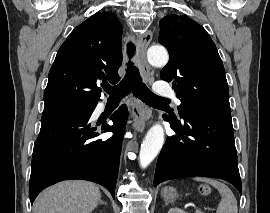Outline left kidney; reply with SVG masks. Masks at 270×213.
<instances>
[{
  "label": "left kidney",
  "mask_w": 270,
  "mask_h": 213,
  "mask_svg": "<svg viewBox=\"0 0 270 213\" xmlns=\"http://www.w3.org/2000/svg\"><path fill=\"white\" fill-rule=\"evenodd\" d=\"M168 213H188L185 212L184 210L180 209V208H171Z\"/></svg>",
  "instance_id": "left-kidney-1"
}]
</instances>
